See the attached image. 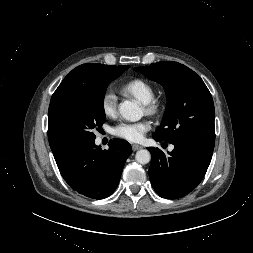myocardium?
Returning a JSON list of instances; mask_svg holds the SVG:
<instances>
[{"instance_id":"myocardium-1","label":"myocardium","mask_w":253,"mask_h":253,"mask_svg":"<svg viewBox=\"0 0 253 253\" xmlns=\"http://www.w3.org/2000/svg\"><path fill=\"white\" fill-rule=\"evenodd\" d=\"M163 102L161 99L153 97L149 102L144 104V111L147 115L156 116L161 113Z\"/></svg>"}]
</instances>
